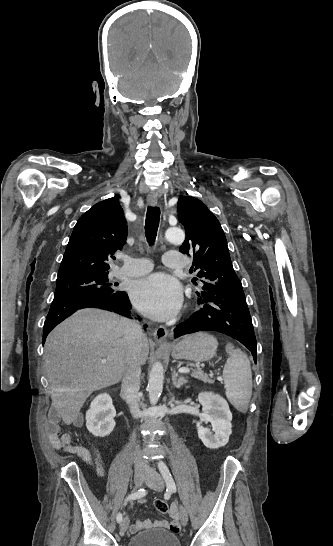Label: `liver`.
Masks as SVG:
<instances>
[{
  "instance_id": "liver-1",
  "label": "liver",
  "mask_w": 333,
  "mask_h": 546,
  "mask_svg": "<svg viewBox=\"0 0 333 546\" xmlns=\"http://www.w3.org/2000/svg\"><path fill=\"white\" fill-rule=\"evenodd\" d=\"M149 353L144 336L139 356L145 364ZM106 359V363L101 360ZM127 343L120 318L111 312L83 309L60 323L45 343V372L52 403L70 425L89 395L119 382L124 374Z\"/></svg>"
}]
</instances>
